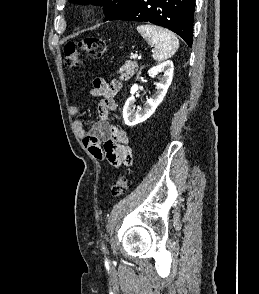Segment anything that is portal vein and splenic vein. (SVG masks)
<instances>
[{
    "instance_id": "18ae733b",
    "label": "portal vein and splenic vein",
    "mask_w": 259,
    "mask_h": 294,
    "mask_svg": "<svg viewBox=\"0 0 259 294\" xmlns=\"http://www.w3.org/2000/svg\"><path fill=\"white\" fill-rule=\"evenodd\" d=\"M137 56H138L137 54H134V55L131 56V59H136Z\"/></svg>"
}]
</instances>
